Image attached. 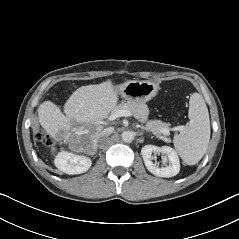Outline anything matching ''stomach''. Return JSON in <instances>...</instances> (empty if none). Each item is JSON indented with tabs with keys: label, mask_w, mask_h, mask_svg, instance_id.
<instances>
[{
	"label": "stomach",
	"mask_w": 239,
	"mask_h": 239,
	"mask_svg": "<svg viewBox=\"0 0 239 239\" xmlns=\"http://www.w3.org/2000/svg\"><path fill=\"white\" fill-rule=\"evenodd\" d=\"M116 90L128 102L145 103L157 95L159 86L152 81L130 80L119 85Z\"/></svg>",
	"instance_id": "1"
}]
</instances>
